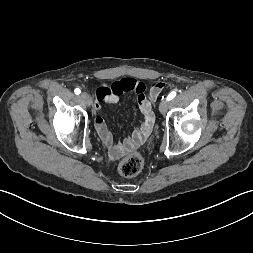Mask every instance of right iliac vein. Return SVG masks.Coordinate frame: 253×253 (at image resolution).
Masks as SVG:
<instances>
[{
    "instance_id": "63e3f726",
    "label": "right iliac vein",
    "mask_w": 253,
    "mask_h": 253,
    "mask_svg": "<svg viewBox=\"0 0 253 253\" xmlns=\"http://www.w3.org/2000/svg\"><path fill=\"white\" fill-rule=\"evenodd\" d=\"M80 98L89 106L91 104V98L86 93H81Z\"/></svg>"
}]
</instances>
